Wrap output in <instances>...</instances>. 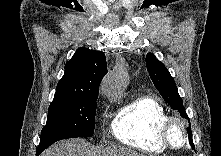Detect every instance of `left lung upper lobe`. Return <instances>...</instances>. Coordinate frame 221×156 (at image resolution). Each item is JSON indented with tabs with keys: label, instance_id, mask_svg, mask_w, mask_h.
<instances>
[{
	"label": "left lung upper lobe",
	"instance_id": "obj_1",
	"mask_svg": "<svg viewBox=\"0 0 221 156\" xmlns=\"http://www.w3.org/2000/svg\"><path fill=\"white\" fill-rule=\"evenodd\" d=\"M146 66L155 87L160 92L164 100L174 110H177L181 117L189 120L183 106V100L178 94L175 81L165 65L157 60L154 54L148 53L146 55Z\"/></svg>",
	"mask_w": 221,
	"mask_h": 156
}]
</instances>
